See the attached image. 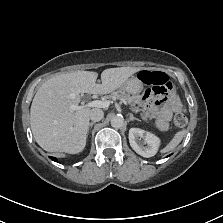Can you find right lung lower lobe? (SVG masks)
Listing matches in <instances>:
<instances>
[{
  "label": "right lung lower lobe",
  "mask_w": 223,
  "mask_h": 223,
  "mask_svg": "<svg viewBox=\"0 0 223 223\" xmlns=\"http://www.w3.org/2000/svg\"><path fill=\"white\" fill-rule=\"evenodd\" d=\"M53 161H57V159L55 157H50Z\"/></svg>",
  "instance_id": "98d812e1"
}]
</instances>
